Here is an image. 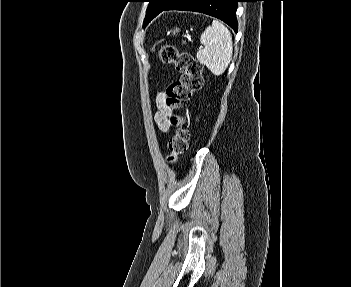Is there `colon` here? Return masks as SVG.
Here are the masks:
<instances>
[{"label": "colon", "mask_w": 351, "mask_h": 287, "mask_svg": "<svg viewBox=\"0 0 351 287\" xmlns=\"http://www.w3.org/2000/svg\"><path fill=\"white\" fill-rule=\"evenodd\" d=\"M160 58L163 63L173 65L180 73V79L167 87L165 100L172 112L170 123L175 128L169 140L166 160L169 164H175L178 158L187 151L190 136L186 127V118L179 111L192 95L202 88V66L191 54L168 45L161 49Z\"/></svg>", "instance_id": "1"}]
</instances>
